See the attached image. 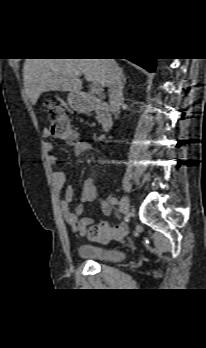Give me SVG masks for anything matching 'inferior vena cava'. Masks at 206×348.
<instances>
[{"instance_id": "602c4592", "label": "inferior vena cava", "mask_w": 206, "mask_h": 348, "mask_svg": "<svg viewBox=\"0 0 206 348\" xmlns=\"http://www.w3.org/2000/svg\"><path fill=\"white\" fill-rule=\"evenodd\" d=\"M105 62L108 77L109 102L115 118H118L124 100L121 68L114 59H105Z\"/></svg>"}]
</instances>
